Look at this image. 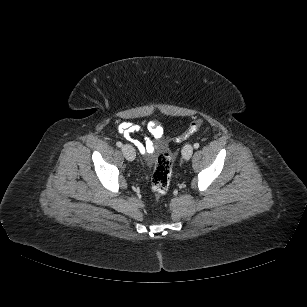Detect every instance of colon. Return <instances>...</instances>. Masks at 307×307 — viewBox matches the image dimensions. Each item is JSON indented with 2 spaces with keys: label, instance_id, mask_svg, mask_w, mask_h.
<instances>
[{
  "label": "colon",
  "instance_id": "obj_1",
  "mask_svg": "<svg viewBox=\"0 0 307 307\" xmlns=\"http://www.w3.org/2000/svg\"><path fill=\"white\" fill-rule=\"evenodd\" d=\"M202 124L203 121L201 119L193 121L179 140L186 139L197 132ZM172 164L173 157L168 151L161 152L156 158L151 184L157 198L165 194L169 189L172 177Z\"/></svg>",
  "mask_w": 307,
  "mask_h": 307
}]
</instances>
